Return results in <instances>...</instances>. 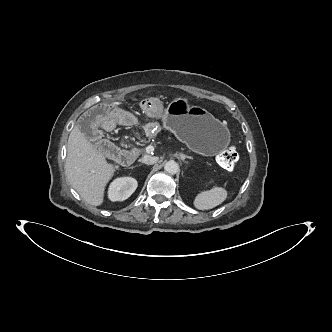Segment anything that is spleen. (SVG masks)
Returning a JSON list of instances; mask_svg holds the SVG:
<instances>
[{
	"mask_svg": "<svg viewBox=\"0 0 332 332\" xmlns=\"http://www.w3.org/2000/svg\"><path fill=\"white\" fill-rule=\"evenodd\" d=\"M228 196V192L222 187H213L199 192L194 199V207L198 210H209L222 204Z\"/></svg>",
	"mask_w": 332,
	"mask_h": 332,
	"instance_id": "1",
	"label": "spleen"
}]
</instances>
